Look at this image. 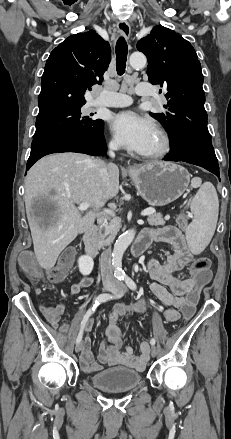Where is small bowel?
I'll return each instance as SVG.
<instances>
[{"mask_svg": "<svg viewBox=\"0 0 231 439\" xmlns=\"http://www.w3.org/2000/svg\"><path fill=\"white\" fill-rule=\"evenodd\" d=\"M140 237L146 239L148 244L151 242H160L171 248V252L167 255L163 263L152 258L148 261L147 267L149 275L153 280L150 285L152 293L164 305L169 307L165 311L166 321L170 323L176 322L181 317L179 313L180 303H182V300L185 298L187 290L196 284L192 277L180 278L176 276V272L188 265L192 259V253L189 250L183 233L175 226L145 230L141 233ZM93 282L94 279L92 277H83L79 282L71 286L70 294L72 296L77 295L83 288L91 286ZM147 308L148 304L146 299H140L131 304L128 310L145 313ZM64 311V305L60 304L54 307L50 322L54 327L60 326L63 331H67L68 325L62 322ZM117 321L118 318L111 313L109 315V323L105 329L106 340L100 348L98 362L94 360L90 338L85 337L80 356V364L85 372L97 373L102 370V364L109 366L124 365L139 371L144 370L149 360L147 342L140 344L141 354L139 356L134 354L132 347L122 349L123 341ZM91 328L92 322H89L86 326V330L90 331Z\"/></svg>", "mask_w": 231, "mask_h": 439, "instance_id": "small-bowel-1", "label": "small bowel"}]
</instances>
